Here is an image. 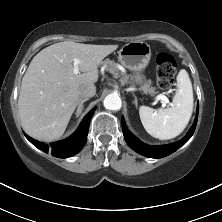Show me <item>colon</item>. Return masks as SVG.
<instances>
[{
  "label": "colon",
  "instance_id": "obj_1",
  "mask_svg": "<svg viewBox=\"0 0 222 222\" xmlns=\"http://www.w3.org/2000/svg\"><path fill=\"white\" fill-rule=\"evenodd\" d=\"M157 85L163 90H169L173 86L177 71L176 60L167 53H160L156 58Z\"/></svg>",
  "mask_w": 222,
  "mask_h": 222
}]
</instances>
